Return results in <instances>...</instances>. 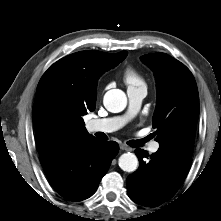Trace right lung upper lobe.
<instances>
[{
  "mask_svg": "<svg viewBox=\"0 0 221 221\" xmlns=\"http://www.w3.org/2000/svg\"><path fill=\"white\" fill-rule=\"evenodd\" d=\"M126 56V51L116 54L81 51L60 59L45 72L38 84L32 109L40 156L93 137L87 132L82 116L95 109L98 78ZM50 76L57 83L52 93L60 102L58 109L40 107L45 94L43 80Z\"/></svg>",
  "mask_w": 221,
  "mask_h": 221,
  "instance_id": "1",
  "label": "right lung upper lobe"
}]
</instances>
